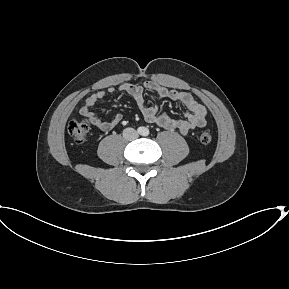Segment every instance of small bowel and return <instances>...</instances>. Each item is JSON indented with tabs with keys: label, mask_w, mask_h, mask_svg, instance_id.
Here are the masks:
<instances>
[{
	"label": "small bowel",
	"mask_w": 289,
	"mask_h": 289,
	"mask_svg": "<svg viewBox=\"0 0 289 289\" xmlns=\"http://www.w3.org/2000/svg\"><path fill=\"white\" fill-rule=\"evenodd\" d=\"M115 88L110 87L107 90H99L91 94L85 100L80 108V114L91 122L94 126L103 131H109L120 124L123 120L121 113H117L111 120L106 121L98 117L92 107L107 94L115 92ZM119 91L130 95L140 109L143 118L149 123L156 124L168 130H177L183 135L188 134L191 130L204 127L207 122V109L198 103L194 97L184 91L168 89L155 82H146L143 85L125 83L118 88ZM145 91L156 94L158 100L170 99L180 105L184 110L183 119H175L168 113H159L158 105H148L145 100Z\"/></svg>",
	"instance_id": "small-bowel-1"
}]
</instances>
